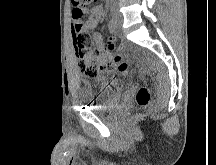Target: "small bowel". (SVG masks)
<instances>
[{
    "instance_id": "c3829d8e",
    "label": "small bowel",
    "mask_w": 216,
    "mask_h": 165,
    "mask_svg": "<svg viewBox=\"0 0 216 165\" xmlns=\"http://www.w3.org/2000/svg\"><path fill=\"white\" fill-rule=\"evenodd\" d=\"M82 9L74 8L72 11V22H71V37L73 41L85 28H94L99 25L103 19L104 11L100 7H91L88 10L87 20L82 21ZM94 48L100 52H103V42L100 35L97 32L92 34Z\"/></svg>"
}]
</instances>
